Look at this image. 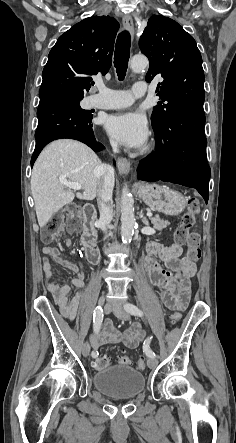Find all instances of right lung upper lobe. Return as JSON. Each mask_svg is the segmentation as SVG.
<instances>
[{"instance_id":"obj_1","label":"right lung upper lobe","mask_w":236,"mask_h":443,"mask_svg":"<svg viewBox=\"0 0 236 443\" xmlns=\"http://www.w3.org/2000/svg\"><path fill=\"white\" fill-rule=\"evenodd\" d=\"M119 23L110 16H94L75 24L51 49L43 69L39 96H83L92 75H105L112 64Z\"/></svg>"}]
</instances>
